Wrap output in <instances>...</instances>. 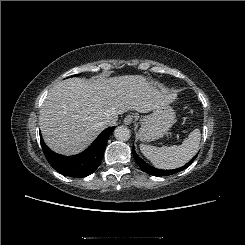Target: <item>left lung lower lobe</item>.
I'll return each instance as SVG.
<instances>
[{
  "mask_svg": "<svg viewBox=\"0 0 245 245\" xmlns=\"http://www.w3.org/2000/svg\"><path fill=\"white\" fill-rule=\"evenodd\" d=\"M132 153L134 156L135 161L137 162V164L139 165V167L146 173L150 174V175H155V176H167V175H171L174 173H178L182 170H184L186 167H188L197 157V155L195 157H193L187 164H185L184 166L177 168V169H173V170H160V169H156L150 165H148L147 163H145L143 160H141L135 153L134 147L132 148Z\"/></svg>",
  "mask_w": 245,
  "mask_h": 245,
  "instance_id": "left-lung-lower-lobe-1",
  "label": "left lung lower lobe"
}]
</instances>
